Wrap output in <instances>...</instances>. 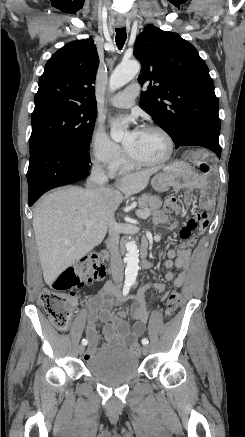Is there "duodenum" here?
Returning <instances> with one entry per match:
<instances>
[{"label": "duodenum", "instance_id": "duodenum-1", "mask_svg": "<svg viewBox=\"0 0 245 437\" xmlns=\"http://www.w3.org/2000/svg\"><path fill=\"white\" fill-rule=\"evenodd\" d=\"M102 256H103L104 258H109V257H110V254H109L108 251H104V252L102 253ZM140 257H141V266H142V268L146 269V268H148L149 266H151V262H150L149 259H148V246H147V244H145V243L141 246V249H140Z\"/></svg>", "mask_w": 245, "mask_h": 437}]
</instances>
